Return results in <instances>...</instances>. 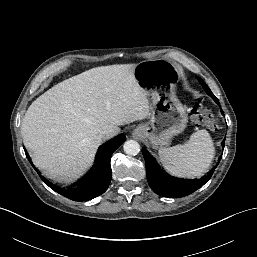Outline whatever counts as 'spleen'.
Here are the masks:
<instances>
[{"instance_id": "spleen-1", "label": "spleen", "mask_w": 257, "mask_h": 257, "mask_svg": "<svg viewBox=\"0 0 257 257\" xmlns=\"http://www.w3.org/2000/svg\"><path fill=\"white\" fill-rule=\"evenodd\" d=\"M214 154V143L205 129L192 134L186 144L159 149V157L165 169L185 178L200 177L206 173Z\"/></svg>"}]
</instances>
